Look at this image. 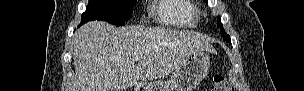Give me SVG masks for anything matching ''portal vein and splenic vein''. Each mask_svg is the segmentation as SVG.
<instances>
[{
  "label": "portal vein and splenic vein",
  "instance_id": "portal-vein-and-splenic-vein-1",
  "mask_svg": "<svg viewBox=\"0 0 304 91\" xmlns=\"http://www.w3.org/2000/svg\"><path fill=\"white\" fill-rule=\"evenodd\" d=\"M139 60H140L139 56L134 57V61H139Z\"/></svg>",
  "mask_w": 304,
  "mask_h": 91
}]
</instances>
